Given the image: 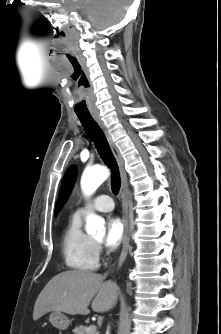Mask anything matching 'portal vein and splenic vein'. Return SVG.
I'll list each match as a JSON object with an SVG mask.
<instances>
[{
    "label": "portal vein and splenic vein",
    "instance_id": "obj_1",
    "mask_svg": "<svg viewBox=\"0 0 221 334\" xmlns=\"http://www.w3.org/2000/svg\"><path fill=\"white\" fill-rule=\"evenodd\" d=\"M88 332H90V333H94V332H96V326H95V325H90V326L88 327Z\"/></svg>",
    "mask_w": 221,
    "mask_h": 334
}]
</instances>
